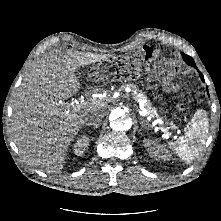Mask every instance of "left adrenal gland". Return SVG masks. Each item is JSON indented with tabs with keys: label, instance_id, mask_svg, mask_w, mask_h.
Returning <instances> with one entry per match:
<instances>
[{
	"label": "left adrenal gland",
	"instance_id": "1",
	"mask_svg": "<svg viewBox=\"0 0 221 221\" xmlns=\"http://www.w3.org/2000/svg\"><path fill=\"white\" fill-rule=\"evenodd\" d=\"M141 124H142V127H145V123H144V121H142Z\"/></svg>",
	"mask_w": 221,
	"mask_h": 221
}]
</instances>
